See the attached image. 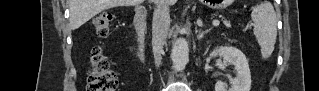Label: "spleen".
I'll return each mask as SVG.
<instances>
[{
    "mask_svg": "<svg viewBox=\"0 0 319 91\" xmlns=\"http://www.w3.org/2000/svg\"><path fill=\"white\" fill-rule=\"evenodd\" d=\"M251 18L254 22V35L261 47L263 59H267L274 51L277 38V17L274 7L269 1L257 4L252 8Z\"/></svg>",
    "mask_w": 319,
    "mask_h": 91,
    "instance_id": "3e777b00",
    "label": "spleen"
}]
</instances>
